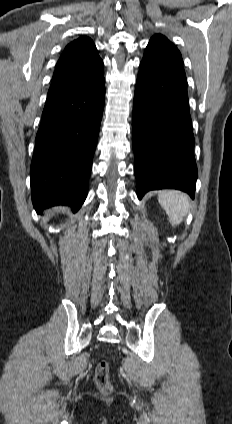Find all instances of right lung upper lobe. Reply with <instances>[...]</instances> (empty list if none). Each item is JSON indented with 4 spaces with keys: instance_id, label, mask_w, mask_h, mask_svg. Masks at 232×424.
Listing matches in <instances>:
<instances>
[{
    "instance_id": "1",
    "label": "right lung upper lobe",
    "mask_w": 232,
    "mask_h": 424,
    "mask_svg": "<svg viewBox=\"0 0 232 424\" xmlns=\"http://www.w3.org/2000/svg\"><path fill=\"white\" fill-rule=\"evenodd\" d=\"M103 77V61L93 41L81 36L66 46L59 58L48 94Z\"/></svg>"
}]
</instances>
